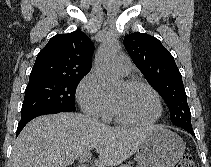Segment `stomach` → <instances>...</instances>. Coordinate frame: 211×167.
<instances>
[{
  "label": "stomach",
  "mask_w": 211,
  "mask_h": 167,
  "mask_svg": "<svg viewBox=\"0 0 211 167\" xmlns=\"http://www.w3.org/2000/svg\"><path fill=\"white\" fill-rule=\"evenodd\" d=\"M185 152V143L176 133L155 126L136 152L138 167H174Z\"/></svg>",
  "instance_id": "stomach-1"
}]
</instances>
